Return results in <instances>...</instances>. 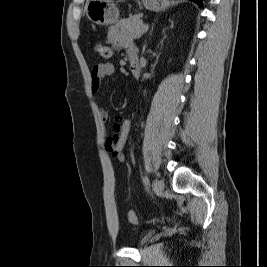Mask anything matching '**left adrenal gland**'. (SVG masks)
Listing matches in <instances>:
<instances>
[{
  "label": "left adrenal gland",
  "instance_id": "a2214340",
  "mask_svg": "<svg viewBox=\"0 0 267 267\" xmlns=\"http://www.w3.org/2000/svg\"><path fill=\"white\" fill-rule=\"evenodd\" d=\"M152 32H153V27H152V29H151V31H150V35H152Z\"/></svg>",
  "mask_w": 267,
  "mask_h": 267
}]
</instances>
